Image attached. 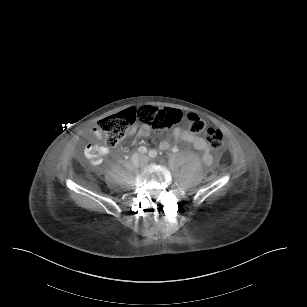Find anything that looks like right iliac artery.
I'll return each mask as SVG.
<instances>
[{
  "mask_svg": "<svg viewBox=\"0 0 307 307\" xmlns=\"http://www.w3.org/2000/svg\"><path fill=\"white\" fill-rule=\"evenodd\" d=\"M138 152L139 153H146L147 152V148H145L144 146H141L138 148Z\"/></svg>",
  "mask_w": 307,
  "mask_h": 307,
  "instance_id": "82829eb1",
  "label": "right iliac artery"
}]
</instances>
